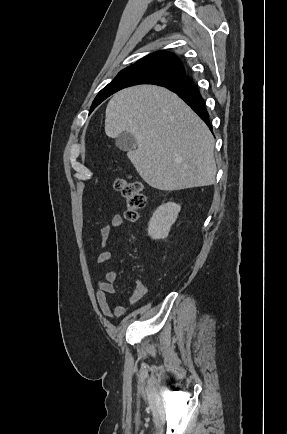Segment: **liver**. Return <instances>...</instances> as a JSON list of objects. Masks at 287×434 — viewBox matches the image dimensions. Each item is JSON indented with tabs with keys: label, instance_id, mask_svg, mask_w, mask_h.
<instances>
[{
	"label": "liver",
	"instance_id": "6515ba94",
	"mask_svg": "<svg viewBox=\"0 0 287 434\" xmlns=\"http://www.w3.org/2000/svg\"><path fill=\"white\" fill-rule=\"evenodd\" d=\"M134 135L128 157L151 187L174 191L215 182L214 138L206 124L175 93L140 85L116 93L106 108L105 133Z\"/></svg>",
	"mask_w": 287,
	"mask_h": 434
}]
</instances>
